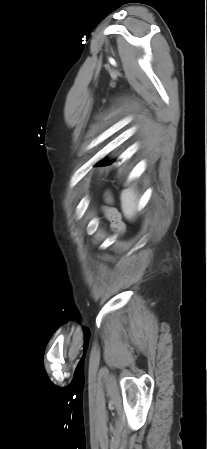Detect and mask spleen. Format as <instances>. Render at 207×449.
Returning <instances> with one entry per match:
<instances>
[{
  "instance_id": "1",
  "label": "spleen",
  "mask_w": 207,
  "mask_h": 449,
  "mask_svg": "<svg viewBox=\"0 0 207 449\" xmlns=\"http://www.w3.org/2000/svg\"><path fill=\"white\" fill-rule=\"evenodd\" d=\"M138 193L133 188H128L121 193V207L124 216L132 220L138 212Z\"/></svg>"
}]
</instances>
